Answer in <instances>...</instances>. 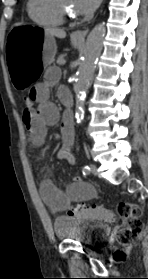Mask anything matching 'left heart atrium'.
<instances>
[{
    "mask_svg": "<svg viewBox=\"0 0 148 279\" xmlns=\"http://www.w3.org/2000/svg\"><path fill=\"white\" fill-rule=\"evenodd\" d=\"M75 12L89 15L95 11L101 0H73Z\"/></svg>",
    "mask_w": 148,
    "mask_h": 279,
    "instance_id": "obj_1",
    "label": "left heart atrium"
}]
</instances>
